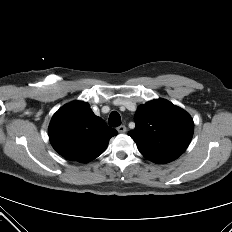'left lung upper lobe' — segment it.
<instances>
[{"instance_id": "5c2ea615", "label": "left lung upper lobe", "mask_w": 232, "mask_h": 232, "mask_svg": "<svg viewBox=\"0 0 232 232\" xmlns=\"http://www.w3.org/2000/svg\"><path fill=\"white\" fill-rule=\"evenodd\" d=\"M135 123L128 135L144 157L158 164L177 159L188 147L194 131L190 115L164 99L139 106Z\"/></svg>"}]
</instances>
